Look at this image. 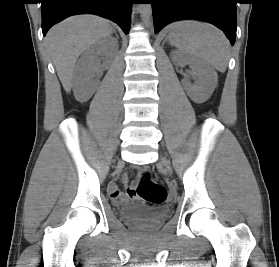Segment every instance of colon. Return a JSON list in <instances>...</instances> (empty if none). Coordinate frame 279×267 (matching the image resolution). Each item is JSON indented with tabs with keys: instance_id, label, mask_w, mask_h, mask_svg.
Listing matches in <instances>:
<instances>
[{
	"instance_id": "1",
	"label": "colon",
	"mask_w": 279,
	"mask_h": 267,
	"mask_svg": "<svg viewBox=\"0 0 279 267\" xmlns=\"http://www.w3.org/2000/svg\"><path fill=\"white\" fill-rule=\"evenodd\" d=\"M138 196L145 202L152 205H159L165 202L167 191L164 185L154 181L147 170L140 173L136 186Z\"/></svg>"
}]
</instances>
